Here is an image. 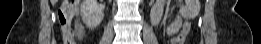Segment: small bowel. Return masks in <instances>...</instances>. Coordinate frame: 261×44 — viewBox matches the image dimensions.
I'll list each match as a JSON object with an SVG mask.
<instances>
[{
    "instance_id": "small-bowel-1",
    "label": "small bowel",
    "mask_w": 261,
    "mask_h": 44,
    "mask_svg": "<svg viewBox=\"0 0 261 44\" xmlns=\"http://www.w3.org/2000/svg\"><path fill=\"white\" fill-rule=\"evenodd\" d=\"M198 10H199V4L193 5L188 2H184L180 7V11L178 15L176 16L174 21L168 26L167 33L169 35L176 34L182 26L183 18L194 19L198 13ZM161 11H162V4L161 3L156 4L152 10L153 23H158L160 19Z\"/></svg>"
}]
</instances>
